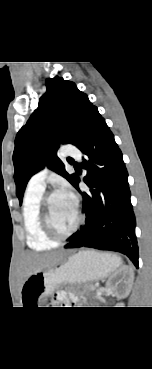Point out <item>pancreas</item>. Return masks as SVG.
<instances>
[{
  "mask_svg": "<svg viewBox=\"0 0 152 369\" xmlns=\"http://www.w3.org/2000/svg\"><path fill=\"white\" fill-rule=\"evenodd\" d=\"M93 284L89 283L83 287L84 292L93 291Z\"/></svg>",
  "mask_w": 152,
  "mask_h": 369,
  "instance_id": "cf45deb5",
  "label": "pancreas"
}]
</instances>
